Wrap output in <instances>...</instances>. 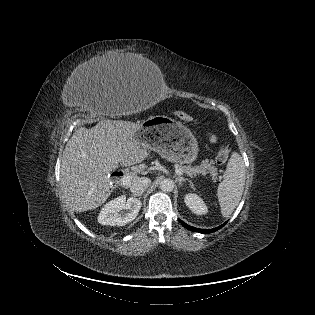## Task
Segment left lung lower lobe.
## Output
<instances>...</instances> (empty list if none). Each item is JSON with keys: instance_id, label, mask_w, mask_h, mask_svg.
<instances>
[{"instance_id": "0a47b994", "label": "left lung lower lobe", "mask_w": 315, "mask_h": 315, "mask_svg": "<svg viewBox=\"0 0 315 315\" xmlns=\"http://www.w3.org/2000/svg\"><path fill=\"white\" fill-rule=\"evenodd\" d=\"M180 222H181V224H182L185 228H187V229H189V230H191V231H195V232H199V233H203V234L213 233V232L219 230L221 227H223V226L226 224V222H225V223H223L221 226L216 227V228H213V229H198V228L189 226L188 224L184 223V222L181 221V220H180Z\"/></svg>"}]
</instances>
